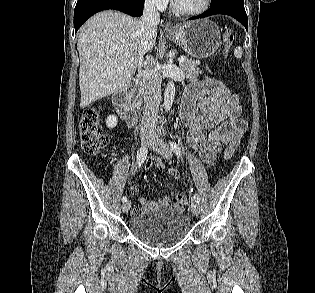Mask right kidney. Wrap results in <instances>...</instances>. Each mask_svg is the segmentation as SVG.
Segmentation results:
<instances>
[{"label":"right kidney","instance_id":"ca27d5eb","mask_svg":"<svg viewBox=\"0 0 315 293\" xmlns=\"http://www.w3.org/2000/svg\"><path fill=\"white\" fill-rule=\"evenodd\" d=\"M117 121H118V119L116 116L110 115L106 119V125L108 128H111V129L115 128L117 126Z\"/></svg>","mask_w":315,"mask_h":293}]
</instances>
